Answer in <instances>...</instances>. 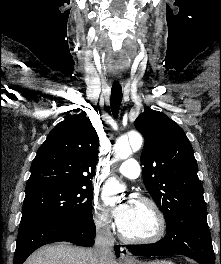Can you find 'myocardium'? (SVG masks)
Here are the masks:
<instances>
[{"label":"myocardium","mask_w":221,"mask_h":264,"mask_svg":"<svg viewBox=\"0 0 221 264\" xmlns=\"http://www.w3.org/2000/svg\"><path fill=\"white\" fill-rule=\"evenodd\" d=\"M136 201L149 206L150 209L153 211L156 217V220H157V230L150 237L134 238V237L127 236L119 227L118 231H119V235L121 239L127 243L141 244V245L153 244V243L160 241L165 236L166 229H167V221H166V217L162 209L153 199L145 197V196L138 197Z\"/></svg>","instance_id":"myocardium-1"}]
</instances>
